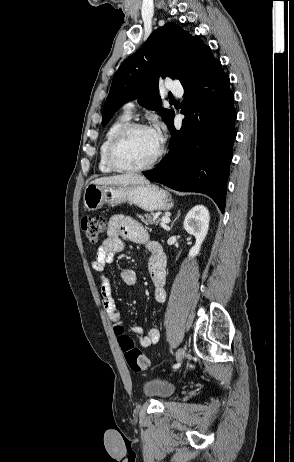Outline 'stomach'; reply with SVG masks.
<instances>
[{"instance_id": "1", "label": "stomach", "mask_w": 294, "mask_h": 462, "mask_svg": "<svg viewBox=\"0 0 294 462\" xmlns=\"http://www.w3.org/2000/svg\"><path fill=\"white\" fill-rule=\"evenodd\" d=\"M84 206L88 211H95L104 205L115 206L128 202L141 209L153 212L170 210L173 207L171 195L153 184L129 185H87L84 196Z\"/></svg>"}]
</instances>
